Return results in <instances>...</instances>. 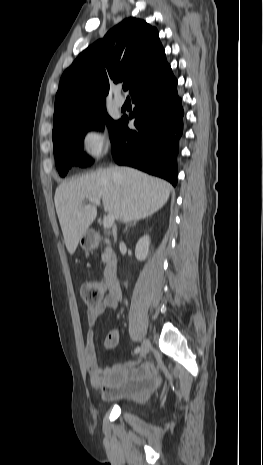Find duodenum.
<instances>
[{
  "label": "duodenum",
  "instance_id": "duodenum-1",
  "mask_svg": "<svg viewBox=\"0 0 263 465\" xmlns=\"http://www.w3.org/2000/svg\"><path fill=\"white\" fill-rule=\"evenodd\" d=\"M100 240V238L90 240V244H95ZM106 282L109 288V291L114 296L121 295L120 283L116 273V267L113 263H110L106 269Z\"/></svg>",
  "mask_w": 263,
  "mask_h": 465
}]
</instances>
